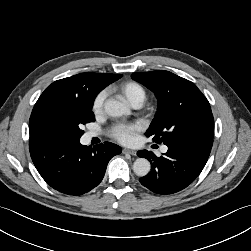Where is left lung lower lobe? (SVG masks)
Segmentation results:
<instances>
[{
	"label": "left lung lower lobe",
	"instance_id": "1",
	"mask_svg": "<svg viewBox=\"0 0 251 251\" xmlns=\"http://www.w3.org/2000/svg\"><path fill=\"white\" fill-rule=\"evenodd\" d=\"M213 139L195 138L168 144V151L157 157L151 151H138L139 157L151 162L150 173L140 183L157 194H173L190 185L203 170Z\"/></svg>",
	"mask_w": 251,
	"mask_h": 251
}]
</instances>
